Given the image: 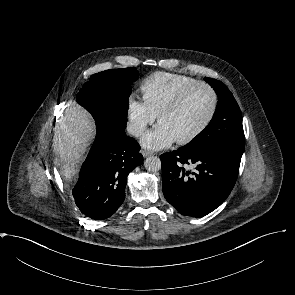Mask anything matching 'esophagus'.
Returning a JSON list of instances; mask_svg holds the SVG:
<instances>
[{
	"mask_svg": "<svg viewBox=\"0 0 295 295\" xmlns=\"http://www.w3.org/2000/svg\"><path fill=\"white\" fill-rule=\"evenodd\" d=\"M141 153H142L143 157H148L150 155H154L155 154L154 152L149 151V150H142Z\"/></svg>",
	"mask_w": 295,
	"mask_h": 295,
	"instance_id": "34e87169",
	"label": "esophagus"
}]
</instances>
